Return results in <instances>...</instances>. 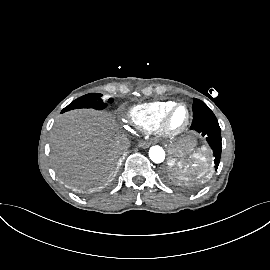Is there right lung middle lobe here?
Masks as SVG:
<instances>
[{
	"label": "right lung middle lobe",
	"instance_id": "dd1d6c3e",
	"mask_svg": "<svg viewBox=\"0 0 270 270\" xmlns=\"http://www.w3.org/2000/svg\"><path fill=\"white\" fill-rule=\"evenodd\" d=\"M109 101L111 102L112 99H109ZM106 106L107 104L103 103L101 99V94L90 93L74 100L67 107H65L62 112H66L76 108H94L97 110H102Z\"/></svg>",
	"mask_w": 270,
	"mask_h": 270
}]
</instances>
